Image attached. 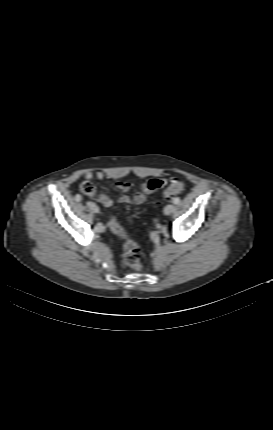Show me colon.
<instances>
[{
    "label": "colon",
    "instance_id": "1",
    "mask_svg": "<svg viewBox=\"0 0 273 430\" xmlns=\"http://www.w3.org/2000/svg\"><path fill=\"white\" fill-rule=\"evenodd\" d=\"M81 191L87 195L93 194L95 186L90 181H84L81 184ZM184 188V184L181 181L173 180L172 183L164 190L163 199L171 200L173 197L178 195ZM110 229L118 236L125 239L123 245V260L131 268L140 270L142 269V264L139 259V248L135 241H133L128 232L119 224V222L111 217L109 221Z\"/></svg>",
    "mask_w": 273,
    "mask_h": 430
}]
</instances>
